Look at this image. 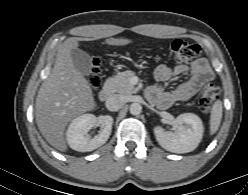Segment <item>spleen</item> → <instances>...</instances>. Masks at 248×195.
Listing matches in <instances>:
<instances>
[{"instance_id":"3e777b00","label":"spleen","mask_w":248,"mask_h":195,"mask_svg":"<svg viewBox=\"0 0 248 195\" xmlns=\"http://www.w3.org/2000/svg\"><path fill=\"white\" fill-rule=\"evenodd\" d=\"M222 102L220 100L216 101L211 109L210 115V133L211 135L215 134L220 126L222 119Z\"/></svg>"}]
</instances>
